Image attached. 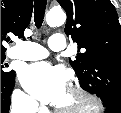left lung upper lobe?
Segmentation results:
<instances>
[{"label":"left lung upper lobe","mask_w":121,"mask_h":113,"mask_svg":"<svg viewBox=\"0 0 121 113\" xmlns=\"http://www.w3.org/2000/svg\"><path fill=\"white\" fill-rule=\"evenodd\" d=\"M67 14L65 33L79 49L70 64L81 87L121 111V26L110 0H57ZM85 52L81 53L80 49Z\"/></svg>","instance_id":"left-lung-upper-lobe-1"}]
</instances>
